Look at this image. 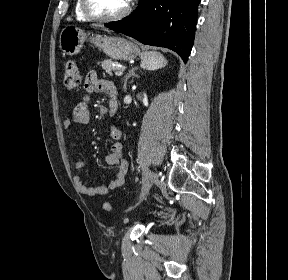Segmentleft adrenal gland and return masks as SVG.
<instances>
[{
	"mask_svg": "<svg viewBox=\"0 0 288 280\" xmlns=\"http://www.w3.org/2000/svg\"><path fill=\"white\" fill-rule=\"evenodd\" d=\"M138 69V67H133L132 69L129 70V72L127 73V75L125 76L124 78V85H123V88H124V91L127 90V82H128V79L130 77H139L135 71Z\"/></svg>",
	"mask_w": 288,
	"mask_h": 280,
	"instance_id": "a2214340",
	"label": "left adrenal gland"
}]
</instances>
